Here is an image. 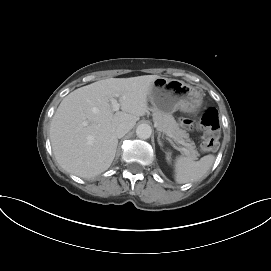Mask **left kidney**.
I'll return each mask as SVG.
<instances>
[{
    "instance_id": "1",
    "label": "left kidney",
    "mask_w": 271,
    "mask_h": 271,
    "mask_svg": "<svg viewBox=\"0 0 271 271\" xmlns=\"http://www.w3.org/2000/svg\"><path fill=\"white\" fill-rule=\"evenodd\" d=\"M167 160L170 161V155L167 153Z\"/></svg>"
}]
</instances>
